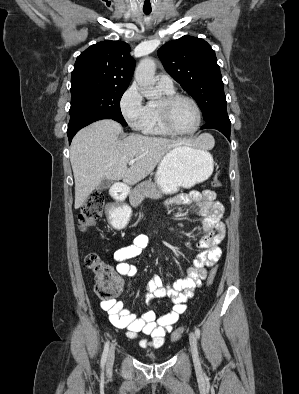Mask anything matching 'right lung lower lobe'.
<instances>
[{"mask_svg":"<svg viewBox=\"0 0 299 394\" xmlns=\"http://www.w3.org/2000/svg\"><path fill=\"white\" fill-rule=\"evenodd\" d=\"M101 119H110V118L106 115H78L70 118L68 130H67L69 143L71 142L74 135L81 128Z\"/></svg>","mask_w":299,"mask_h":394,"instance_id":"98d812e1","label":"right lung lower lobe"}]
</instances>
